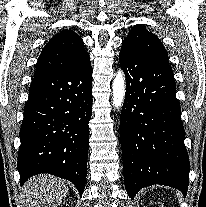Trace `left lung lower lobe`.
I'll list each match as a JSON object with an SVG mask.
<instances>
[{"label":"left lung lower lobe","instance_id":"obj_1","mask_svg":"<svg viewBox=\"0 0 206 207\" xmlns=\"http://www.w3.org/2000/svg\"><path fill=\"white\" fill-rule=\"evenodd\" d=\"M126 95L120 118L125 188L161 184L187 194L190 164L170 65L121 48Z\"/></svg>","mask_w":206,"mask_h":207}]
</instances>
